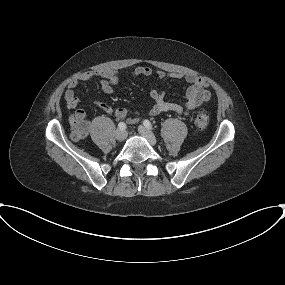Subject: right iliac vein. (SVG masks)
<instances>
[{"instance_id":"1","label":"right iliac vein","mask_w":285,"mask_h":285,"mask_svg":"<svg viewBox=\"0 0 285 285\" xmlns=\"http://www.w3.org/2000/svg\"><path fill=\"white\" fill-rule=\"evenodd\" d=\"M115 137H116V139H117L118 141H123V140L126 139L127 133H126V131H124V130L118 129V130L115 132Z\"/></svg>"}]
</instances>
